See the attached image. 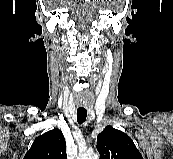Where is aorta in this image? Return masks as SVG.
Wrapping results in <instances>:
<instances>
[{"mask_svg":"<svg viewBox=\"0 0 173 159\" xmlns=\"http://www.w3.org/2000/svg\"><path fill=\"white\" fill-rule=\"evenodd\" d=\"M77 159H99L98 155L92 152H80Z\"/></svg>","mask_w":173,"mask_h":159,"instance_id":"762f6f07","label":"aorta"}]
</instances>
